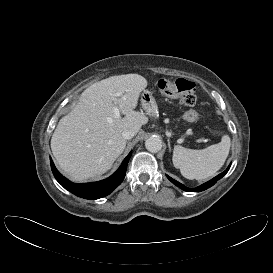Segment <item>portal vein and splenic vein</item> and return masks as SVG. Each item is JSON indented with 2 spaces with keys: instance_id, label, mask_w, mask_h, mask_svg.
<instances>
[{
  "instance_id": "1",
  "label": "portal vein and splenic vein",
  "mask_w": 273,
  "mask_h": 273,
  "mask_svg": "<svg viewBox=\"0 0 273 273\" xmlns=\"http://www.w3.org/2000/svg\"><path fill=\"white\" fill-rule=\"evenodd\" d=\"M120 94H117V96H119ZM114 114L117 118L120 117V112H119V109L117 107L114 108Z\"/></svg>"
}]
</instances>
